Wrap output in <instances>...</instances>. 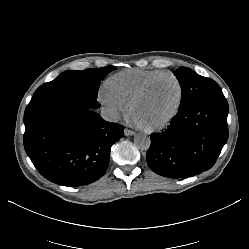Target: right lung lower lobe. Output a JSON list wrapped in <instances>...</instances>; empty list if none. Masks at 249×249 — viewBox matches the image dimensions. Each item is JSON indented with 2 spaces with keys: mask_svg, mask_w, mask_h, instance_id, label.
I'll return each mask as SVG.
<instances>
[{
  "mask_svg": "<svg viewBox=\"0 0 249 249\" xmlns=\"http://www.w3.org/2000/svg\"><path fill=\"white\" fill-rule=\"evenodd\" d=\"M99 107L79 91L32 97L24 113V147L41 175L64 186L86 185L104 175L124 127L102 119Z\"/></svg>",
  "mask_w": 249,
  "mask_h": 249,
  "instance_id": "98d812e1",
  "label": "right lung lower lobe"
}]
</instances>
